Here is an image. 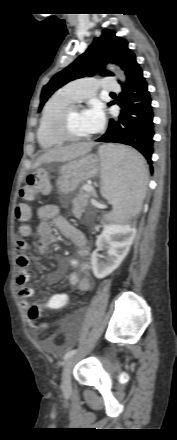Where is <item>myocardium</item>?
Returning <instances> with one entry per match:
<instances>
[{
	"mask_svg": "<svg viewBox=\"0 0 177 440\" xmlns=\"http://www.w3.org/2000/svg\"><path fill=\"white\" fill-rule=\"evenodd\" d=\"M75 110H80V105L72 103L63 107L51 123V132L61 143L79 142L90 138V135L74 137L68 133L67 120L70 113Z\"/></svg>",
	"mask_w": 177,
	"mask_h": 440,
	"instance_id": "obj_1",
	"label": "myocardium"
}]
</instances>
